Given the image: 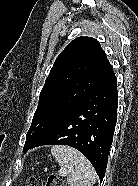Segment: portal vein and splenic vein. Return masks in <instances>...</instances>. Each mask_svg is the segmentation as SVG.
Returning a JSON list of instances; mask_svg holds the SVG:
<instances>
[{
  "label": "portal vein and splenic vein",
  "instance_id": "18ae733b",
  "mask_svg": "<svg viewBox=\"0 0 138 186\" xmlns=\"http://www.w3.org/2000/svg\"><path fill=\"white\" fill-rule=\"evenodd\" d=\"M60 175H61V176H66V175H67V170L61 169V170H60Z\"/></svg>",
  "mask_w": 138,
  "mask_h": 186
}]
</instances>
